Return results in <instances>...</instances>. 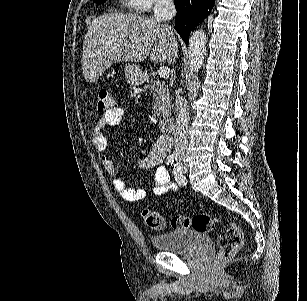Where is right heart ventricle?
<instances>
[{"mask_svg": "<svg viewBox=\"0 0 307 301\" xmlns=\"http://www.w3.org/2000/svg\"><path fill=\"white\" fill-rule=\"evenodd\" d=\"M128 2L131 3V8H137V1L128 0Z\"/></svg>", "mask_w": 307, "mask_h": 301, "instance_id": "1", "label": "right heart ventricle"}]
</instances>
